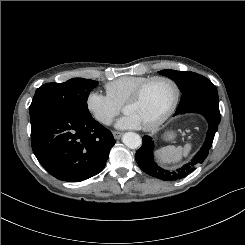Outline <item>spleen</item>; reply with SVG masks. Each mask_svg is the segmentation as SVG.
<instances>
[{"instance_id":"spleen-1","label":"spleen","mask_w":245,"mask_h":245,"mask_svg":"<svg viewBox=\"0 0 245 245\" xmlns=\"http://www.w3.org/2000/svg\"><path fill=\"white\" fill-rule=\"evenodd\" d=\"M191 149L192 145L189 143L185 144L184 147L169 145L156 151L155 155L158 162L165 165L181 161L183 157H186L189 154Z\"/></svg>"}]
</instances>
